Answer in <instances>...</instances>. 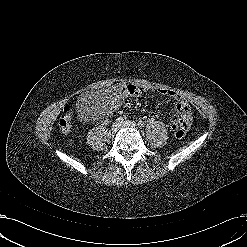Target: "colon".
I'll use <instances>...</instances> for the list:
<instances>
[{
	"mask_svg": "<svg viewBox=\"0 0 247 247\" xmlns=\"http://www.w3.org/2000/svg\"><path fill=\"white\" fill-rule=\"evenodd\" d=\"M69 122H70V116L69 115H63L60 117L58 124L63 130H67L69 128ZM184 133V130H181L177 133L178 136H182Z\"/></svg>",
	"mask_w": 247,
	"mask_h": 247,
	"instance_id": "obj_1",
	"label": "colon"
}]
</instances>
